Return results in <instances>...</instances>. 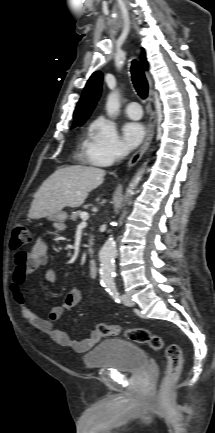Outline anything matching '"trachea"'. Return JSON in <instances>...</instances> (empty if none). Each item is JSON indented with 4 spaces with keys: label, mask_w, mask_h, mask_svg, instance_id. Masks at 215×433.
Segmentation results:
<instances>
[{
    "label": "trachea",
    "mask_w": 215,
    "mask_h": 433,
    "mask_svg": "<svg viewBox=\"0 0 215 433\" xmlns=\"http://www.w3.org/2000/svg\"><path fill=\"white\" fill-rule=\"evenodd\" d=\"M131 74L138 95L143 99L146 98L148 95V82L141 65L137 61L132 62Z\"/></svg>",
    "instance_id": "trachea-1"
}]
</instances>
